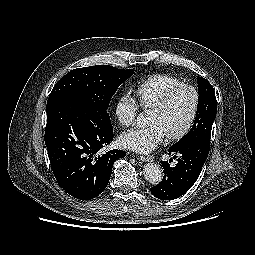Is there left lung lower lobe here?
<instances>
[{"label": "left lung lower lobe", "mask_w": 255, "mask_h": 255, "mask_svg": "<svg viewBox=\"0 0 255 255\" xmlns=\"http://www.w3.org/2000/svg\"><path fill=\"white\" fill-rule=\"evenodd\" d=\"M210 144L194 143L179 148H169L171 153H178V163L171 167L168 161H161L164 177L150 189L151 193L162 200H173L186 193L198 179L208 156Z\"/></svg>", "instance_id": "0a47b994"}]
</instances>
